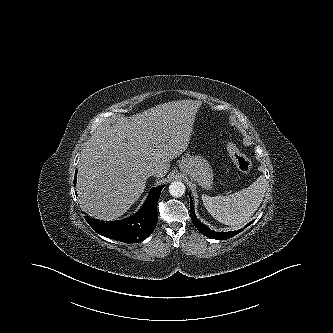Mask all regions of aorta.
Wrapping results in <instances>:
<instances>
[{
	"label": "aorta",
	"instance_id": "aorta-1",
	"mask_svg": "<svg viewBox=\"0 0 333 333\" xmlns=\"http://www.w3.org/2000/svg\"><path fill=\"white\" fill-rule=\"evenodd\" d=\"M185 185L180 181H174L169 185V193L173 197H181L185 193Z\"/></svg>",
	"mask_w": 333,
	"mask_h": 333
}]
</instances>
